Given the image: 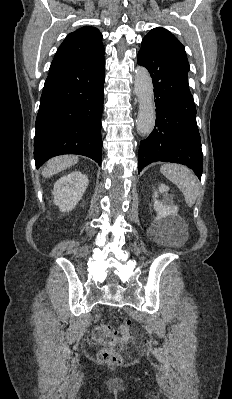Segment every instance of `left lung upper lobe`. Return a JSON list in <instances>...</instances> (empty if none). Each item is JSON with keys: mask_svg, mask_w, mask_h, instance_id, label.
<instances>
[{"mask_svg": "<svg viewBox=\"0 0 232 399\" xmlns=\"http://www.w3.org/2000/svg\"><path fill=\"white\" fill-rule=\"evenodd\" d=\"M142 45H153L164 48L183 65L187 72L189 71L190 68L184 46L166 29L161 27L152 29L143 38Z\"/></svg>", "mask_w": 232, "mask_h": 399, "instance_id": "1", "label": "left lung upper lobe"}]
</instances>
